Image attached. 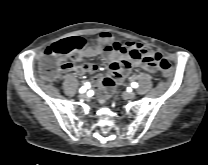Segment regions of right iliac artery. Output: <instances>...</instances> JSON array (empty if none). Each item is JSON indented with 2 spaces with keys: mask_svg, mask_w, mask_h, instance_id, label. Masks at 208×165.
<instances>
[{
  "mask_svg": "<svg viewBox=\"0 0 208 165\" xmlns=\"http://www.w3.org/2000/svg\"><path fill=\"white\" fill-rule=\"evenodd\" d=\"M86 89H87V86H82V87L80 88V90H79V91H80L81 93H83V92H85V91H86Z\"/></svg>",
  "mask_w": 208,
  "mask_h": 165,
  "instance_id": "obj_1",
  "label": "right iliac artery"
}]
</instances>
